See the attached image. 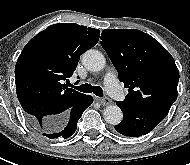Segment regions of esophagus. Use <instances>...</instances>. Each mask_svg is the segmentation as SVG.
Here are the masks:
<instances>
[{"label":"esophagus","mask_w":190,"mask_h":165,"mask_svg":"<svg viewBox=\"0 0 190 165\" xmlns=\"http://www.w3.org/2000/svg\"><path fill=\"white\" fill-rule=\"evenodd\" d=\"M97 100L104 106L110 105L112 102L108 97L98 98Z\"/></svg>","instance_id":"34e87169"}]
</instances>
